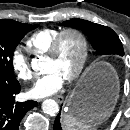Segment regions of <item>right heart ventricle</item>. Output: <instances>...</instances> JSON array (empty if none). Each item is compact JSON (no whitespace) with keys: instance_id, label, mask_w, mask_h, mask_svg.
Masks as SVG:
<instances>
[{"instance_id":"e07e8e85","label":"right heart ventricle","mask_w":130,"mask_h":130,"mask_svg":"<svg viewBox=\"0 0 130 130\" xmlns=\"http://www.w3.org/2000/svg\"><path fill=\"white\" fill-rule=\"evenodd\" d=\"M60 32L56 28H43L37 30L26 41L30 52L34 55L46 54L53 39Z\"/></svg>"}]
</instances>
